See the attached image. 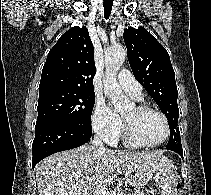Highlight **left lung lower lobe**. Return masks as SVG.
Segmentation results:
<instances>
[{
	"mask_svg": "<svg viewBox=\"0 0 211 195\" xmlns=\"http://www.w3.org/2000/svg\"><path fill=\"white\" fill-rule=\"evenodd\" d=\"M172 151H175L183 158V149L182 148H176V149H173Z\"/></svg>",
	"mask_w": 211,
	"mask_h": 195,
	"instance_id": "obj_1",
	"label": "left lung lower lobe"
}]
</instances>
